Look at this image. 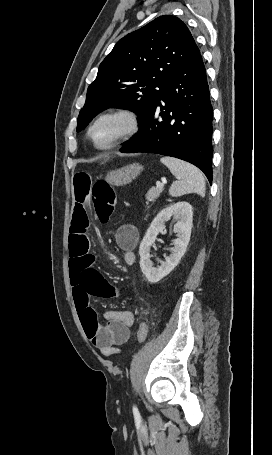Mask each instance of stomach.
I'll return each mask as SVG.
<instances>
[{
    "mask_svg": "<svg viewBox=\"0 0 272 455\" xmlns=\"http://www.w3.org/2000/svg\"><path fill=\"white\" fill-rule=\"evenodd\" d=\"M143 170L139 163H133L120 169L109 172L105 180L114 186H121L132 182Z\"/></svg>",
    "mask_w": 272,
    "mask_h": 455,
    "instance_id": "1",
    "label": "stomach"
}]
</instances>
